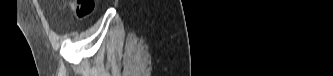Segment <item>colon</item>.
<instances>
[{"label":"colon","instance_id":"colon-1","mask_svg":"<svg viewBox=\"0 0 333 76\" xmlns=\"http://www.w3.org/2000/svg\"><path fill=\"white\" fill-rule=\"evenodd\" d=\"M70 4L76 16L80 19L88 17L95 9L94 0H75Z\"/></svg>","mask_w":333,"mask_h":76}]
</instances>
